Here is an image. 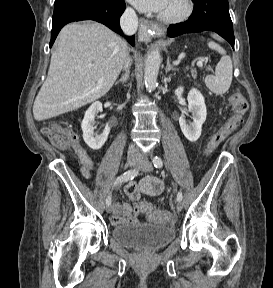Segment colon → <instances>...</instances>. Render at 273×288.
Wrapping results in <instances>:
<instances>
[{"label": "colon", "mask_w": 273, "mask_h": 288, "mask_svg": "<svg viewBox=\"0 0 273 288\" xmlns=\"http://www.w3.org/2000/svg\"><path fill=\"white\" fill-rule=\"evenodd\" d=\"M229 103L232 107V115L222 124L210 137L207 144V152H213L234 130L242 123L243 117L248 110V103L242 93L235 91L229 96ZM43 132L51 143L58 148L66 149L75 143V135L67 129L50 124L44 128ZM139 207L144 213H150L153 209L148 202H141Z\"/></svg>", "instance_id": "1"}]
</instances>
